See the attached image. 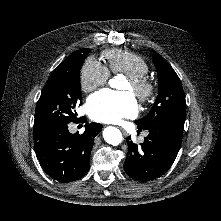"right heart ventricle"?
I'll return each mask as SVG.
<instances>
[{"label":"right heart ventricle","instance_id":"1","mask_svg":"<svg viewBox=\"0 0 221 221\" xmlns=\"http://www.w3.org/2000/svg\"><path fill=\"white\" fill-rule=\"evenodd\" d=\"M107 70L111 74L127 77L147 76L149 65L140 55L122 49H111L103 53Z\"/></svg>","mask_w":221,"mask_h":221}]
</instances>
